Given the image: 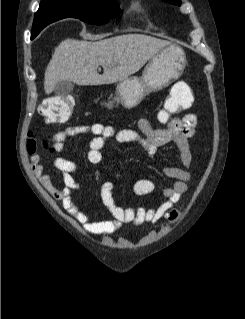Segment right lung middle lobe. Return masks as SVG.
I'll use <instances>...</instances> for the list:
<instances>
[{
    "label": "right lung middle lobe",
    "instance_id": "obj_1",
    "mask_svg": "<svg viewBox=\"0 0 245 319\" xmlns=\"http://www.w3.org/2000/svg\"><path fill=\"white\" fill-rule=\"evenodd\" d=\"M51 3L54 8L52 15L58 20L74 17L91 24H105L119 10L116 0H61ZM33 25L40 27L35 20Z\"/></svg>",
    "mask_w": 245,
    "mask_h": 319
}]
</instances>
